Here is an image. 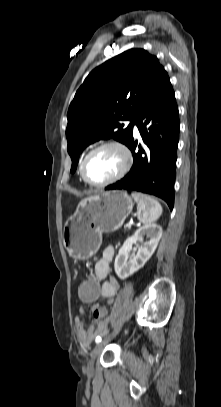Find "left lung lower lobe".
I'll use <instances>...</instances> for the list:
<instances>
[{
  "label": "left lung lower lobe",
  "instance_id": "1",
  "mask_svg": "<svg viewBox=\"0 0 221 407\" xmlns=\"http://www.w3.org/2000/svg\"><path fill=\"white\" fill-rule=\"evenodd\" d=\"M135 124L144 144L139 145V151L135 152L137 141L132 136L127 145L134 158L130 172L105 189L152 194L162 198L172 210L180 124L175 94L168 75L162 79Z\"/></svg>",
  "mask_w": 221,
  "mask_h": 407
}]
</instances>
